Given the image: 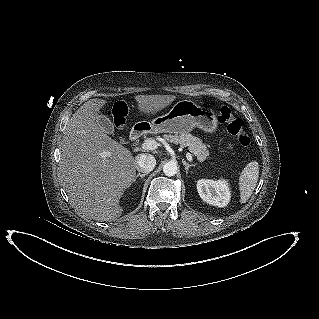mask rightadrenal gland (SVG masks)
Returning a JSON list of instances; mask_svg holds the SVG:
<instances>
[{
	"mask_svg": "<svg viewBox=\"0 0 319 319\" xmlns=\"http://www.w3.org/2000/svg\"><path fill=\"white\" fill-rule=\"evenodd\" d=\"M146 175H147L146 173H143V174L138 173V174L135 176V179L133 180V182L135 183V182H136V179H137L138 177H140L141 179H143Z\"/></svg>",
	"mask_w": 319,
	"mask_h": 319,
	"instance_id": "1",
	"label": "right adrenal gland"
}]
</instances>
